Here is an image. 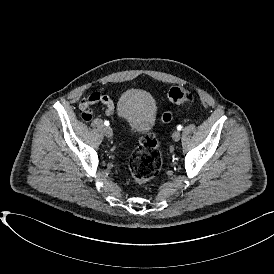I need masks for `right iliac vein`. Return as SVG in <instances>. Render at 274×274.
<instances>
[{
    "instance_id": "right-iliac-vein-1",
    "label": "right iliac vein",
    "mask_w": 274,
    "mask_h": 274,
    "mask_svg": "<svg viewBox=\"0 0 274 274\" xmlns=\"http://www.w3.org/2000/svg\"><path fill=\"white\" fill-rule=\"evenodd\" d=\"M104 133H105V135L107 136V137H112V135H113V131H112V128L111 127H105L104 128Z\"/></svg>"
}]
</instances>
